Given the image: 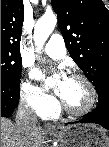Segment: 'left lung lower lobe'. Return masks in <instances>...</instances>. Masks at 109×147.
Masks as SVG:
<instances>
[{
  "mask_svg": "<svg viewBox=\"0 0 109 147\" xmlns=\"http://www.w3.org/2000/svg\"><path fill=\"white\" fill-rule=\"evenodd\" d=\"M97 93L99 101L96 109L77 122L95 123L109 130V85L102 87Z\"/></svg>",
  "mask_w": 109,
  "mask_h": 147,
  "instance_id": "obj_1",
  "label": "left lung lower lobe"
}]
</instances>
